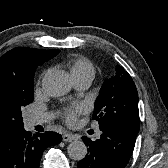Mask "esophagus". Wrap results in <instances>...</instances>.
I'll return each instance as SVG.
<instances>
[{
  "mask_svg": "<svg viewBox=\"0 0 168 168\" xmlns=\"http://www.w3.org/2000/svg\"><path fill=\"white\" fill-rule=\"evenodd\" d=\"M62 139L65 142H72V141L76 140V136L71 133H66L63 135Z\"/></svg>",
  "mask_w": 168,
  "mask_h": 168,
  "instance_id": "esophagus-1",
  "label": "esophagus"
}]
</instances>
